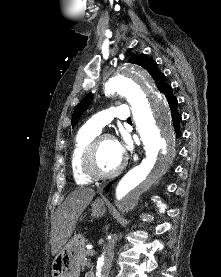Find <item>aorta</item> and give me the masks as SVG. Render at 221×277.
Listing matches in <instances>:
<instances>
[{
	"label": "aorta",
	"mask_w": 221,
	"mask_h": 277,
	"mask_svg": "<svg viewBox=\"0 0 221 277\" xmlns=\"http://www.w3.org/2000/svg\"><path fill=\"white\" fill-rule=\"evenodd\" d=\"M105 91L127 99L145 150V158L122 177L116 188L120 208L128 212L140 195L168 170L175 153V135L169 107L141 67L125 66L109 78ZM114 249L115 238L110 236L97 258L96 277H105Z\"/></svg>",
	"instance_id": "1"
}]
</instances>
